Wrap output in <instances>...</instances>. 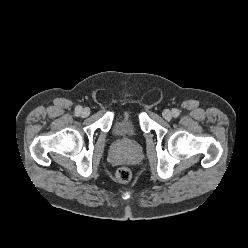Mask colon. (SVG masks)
Wrapping results in <instances>:
<instances>
[{
    "instance_id": "colon-1",
    "label": "colon",
    "mask_w": 248,
    "mask_h": 248,
    "mask_svg": "<svg viewBox=\"0 0 248 248\" xmlns=\"http://www.w3.org/2000/svg\"><path fill=\"white\" fill-rule=\"evenodd\" d=\"M116 179L120 183H127L131 180L132 172L128 167H121L116 171Z\"/></svg>"
}]
</instances>
